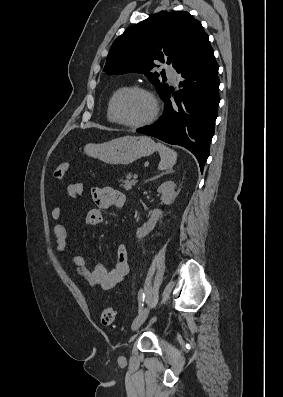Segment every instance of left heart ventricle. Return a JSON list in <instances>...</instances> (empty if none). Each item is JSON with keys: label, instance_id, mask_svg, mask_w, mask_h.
Returning <instances> with one entry per match:
<instances>
[{"label": "left heart ventricle", "instance_id": "obj_1", "mask_svg": "<svg viewBox=\"0 0 283 397\" xmlns=\"http://www.w3.org/2000/svg\"><path fill=\"white\" fill-rule=\"evenodd\" d=\"M151 99L143 93H132L124 97L119 104V113L124 121L137 123L152 113Z\"/></svg>", "mask_w": 283, "mask_h": 397}]
</instances>
